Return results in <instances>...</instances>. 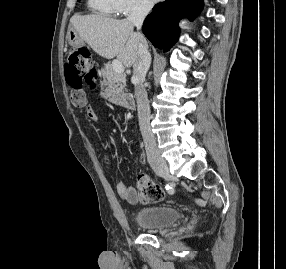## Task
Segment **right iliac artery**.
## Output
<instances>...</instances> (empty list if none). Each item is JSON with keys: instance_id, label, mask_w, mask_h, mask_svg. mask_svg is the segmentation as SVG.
I'll list each match as a JSON object with an SVG mask.
<instances>
[{"instance_id": "right-iliac-artery-1", "label": "right iliac artery", "mask_w": 286, "mask_h": 269, "mask_svg": "<svg viewBox=\"0 0 286 269\" xmlns=\"http://www.w3.org/2000/svg\"><path fill=\"white\" fill-rule=\"evenodd\" d=\"M166 190H168L169 193L172 191L168 185L166 186Z\"/></svg>"}]
</instances>
